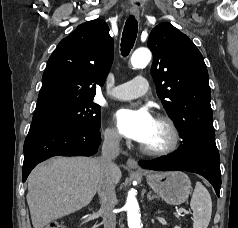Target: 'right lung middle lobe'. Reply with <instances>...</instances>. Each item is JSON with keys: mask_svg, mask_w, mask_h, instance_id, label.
<instances>
[{"mask_svg": "<svg viewBox=\"0 0 238 228\" xmlns=\"http://www.w3.org/2000/svg\"><path fill=\"white\" fill-rule=\"evenodd\" d=\"M100 111L101 108L98 104L88 100L50 114L35 116L32 119V123H67L99 129Z\"/></svg>", "mask_w": 238, "mask_h": 228, "instance_id": "1", "label": "right lung middle lobe"}]
</instances>
